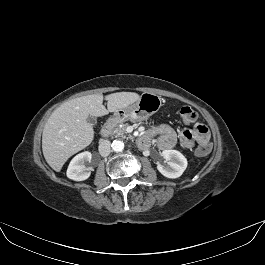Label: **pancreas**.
I'll return each instance as SVG.
<instances>
[{
	"mask_svg": "<svg viewBox=\"0 0 265 265\" xmlns=\"http://www.w3.org/2000/svg\"><path fill=\"white\" fill-rule=\"evenodd\" d=\"M126 123H116L112 129H111V134L115 135L116 137L122 136L125 137L126 134Z\"/></svg>",
	"mask_w": 265,
	"mask_h": 265,
	"instance_id": "obj_1",
	"label": "pancreas"
}]
</instances>
